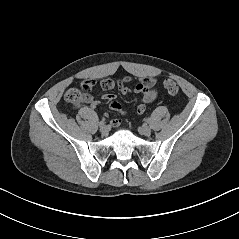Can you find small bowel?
<instances>
[{"instance_id": "1", "label": "small bowel", "mask_w": 239, "mask_h": 239, "mask_svg": "<svg viewBox=\"0 0 239 239\" xmlns=\"http://www.w3.org/2000/svg\"><path fill=\"white\" fill-rule=\"evenodd\" d=\"M92 82L93 87L96 82L93 79H88L83 82L82 85L87 82ZM132 82V78L130 76L124 77L122 80L115 82L111 79H103L100 81V86L104 90H118L123 95H129L131 93L140 94L139 104L135 110L136 115H142L146 111L147 104L151 103L155 100L157 96V88H156V79L154 77H146L138 82L134 87H129L128 84ZM102 99L106 102L110 109L121 114L125 115V110L123 107L115 101V95L112 93H105L102 95ZM91 107H96L98 102L94 101L92 97H88L87 101ZM122 120L120 118H115L112 120V125L114 127H118L121 125Z\"/></svg>"}]
</instances>
